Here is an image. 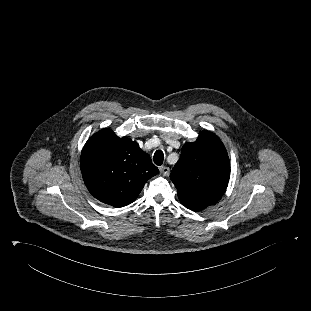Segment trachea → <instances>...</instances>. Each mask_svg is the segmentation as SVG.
Wrapping results in <instances>:
<instances>
[{"label":"trachea","instance_id":"3493384b","mask_svg":"<svg viewBox=\"0 0 311 311\" xmlns=\"http://www.w3.org/2000/svg\"><path fill=\"white\" fill-rule=\"evenodd\" d=\"M154 163L158 166L163 164V160H164V154L161 150H157L154 153V157H153Z\"/></svg>","mask_w":311,"mask_h":311}]
</instances>
